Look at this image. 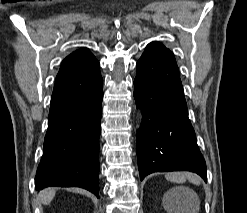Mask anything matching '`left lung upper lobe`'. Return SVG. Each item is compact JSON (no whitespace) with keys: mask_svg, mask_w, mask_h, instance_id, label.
<instances>
[{"mask_svg":"<svg viewBox=\"0 0 247 213\" xmlns=\"http://www.w3.org/2000/svg\"><path fill=\"white\" fill-rule=\"evenodd\" d=\"M162 52H170L171 53V51L169 49H167L166 47H164L161 43L152 42L146 47L142 56L156 55V54L162 53Z\"/></svg>","mask_w":247,"mask_h":213,"instance_id":"obj_1","label":"left lung upper lobe"}]
</instances>
